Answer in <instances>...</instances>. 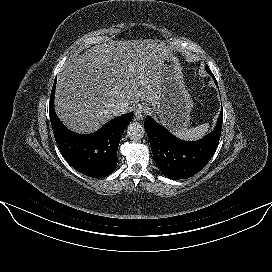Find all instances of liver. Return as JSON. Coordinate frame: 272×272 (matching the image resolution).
Instances as JSON below:
<instances>
[{
	"mask_svg": "<svg viewBox=\"0 0 272 272\" xmlns=\"http://www.w3.org/2000/svg\"><path fill=\"white\" fill-rule=\"evenodd\" d=\"M171 53L162 41L109 40L66 62L57 78L55 110L74 132L92 133L140 100L153 102L160 91V69Z\"/></svg>",
	"mask_w": 272,
	"mask_h": 272,
	"instance_id": "obj_1",
	"label": "liver"
}]
</instances>
